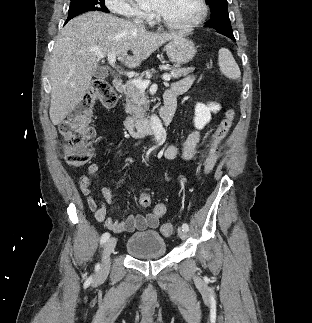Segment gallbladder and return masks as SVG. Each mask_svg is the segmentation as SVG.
<instances>
[{
	"mask_svg": "<svg viewBox=\"0 0 312 323\" xmlns=\"http://www.w3.org/2000/svg\"><path fill=\"white\" fill-rule=\"evenodd\" d=\"M94 78H108L109 76V70H106V68H103V66H97L96 70H94L93 74Z\"/></svg>",
	"mask_w": 312,
	"mask_h": 323,
	"instance_id": "bac80fb5",
	"label": "gallbladder"
}]
</instances>
